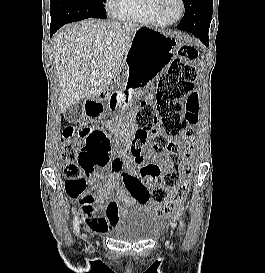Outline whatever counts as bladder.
I'll return each mask as SVG.
<instances>
[{"label": "bladder", "instance_id": "bladder-1", "mask_svg": "<svg viewBox=\"0 0 265 273\" xmlns=\"http://www.w3.org/2000/svg\"><path fill=\"white\" fill-rule=\"evenodd\" d=\"M160 225V216L143 205L128 207L110 229L114 238L140 242L152 238Z\"/></svg>", "mask_w": 265, "mask_h": 273}]
</instances>
